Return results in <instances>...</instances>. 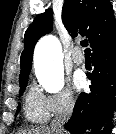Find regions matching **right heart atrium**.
Wrapping results in <instances>:
<instances>
[{
	"instance_id": "1",
	"label": "right heart atrium",
	"mask_w": 116,
	"mask_h": 134,
	"mask_svg": "<svg viewBox=\"0 0 116 134\" xmlns=\"http://www.w3.org/2000/svg\"><path fill=\"white\" fill-rule=\"evenodd\" d=\"M44 98L48 113L52 116L69 113L75 105L74 95L68 88Z\"/></svg>"
}]
</instances>
